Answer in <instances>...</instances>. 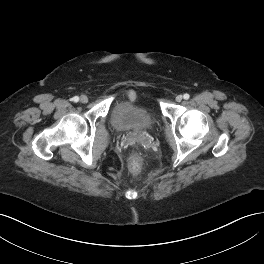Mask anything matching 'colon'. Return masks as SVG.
<instances>
[{
  "mask_svg": "<svg viewBox=\"0 0 264 264\" xmlns=\"http://www.w3.org/2000/svg\"><path fill=\"white\" fill-rule=\"evenodd\" d=\"M140 161L138 159H135L131 162L130 170L133 174H137L140 171Z\"/></svg>",
  "mask_w": 264,
  "mask_h": 264,
  "instance_id": "colon-1",
  "label": "colon"
}]
</instances>
